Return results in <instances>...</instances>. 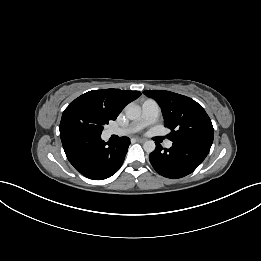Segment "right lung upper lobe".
I'll return each instance as SVG.
<instances>
[{
    "label": "right lung upper lobe",
    "instance_id": "1",
    "mask_svg": "<svg viewBox=\"0 0 261 261\" xmlns=\"http://www.w3.org/2000/svg\"><path fill=\"white\" fill-rule=\"evenodd\" d=\"M141 95L138 91L104 89L89 91L73 102H86L105 114L110 120H115L123 108Z\"/></svg>",
    "mask_w": 261,
    "mask_h": 261
}]
</instances>
